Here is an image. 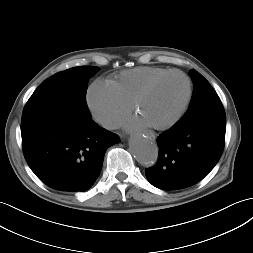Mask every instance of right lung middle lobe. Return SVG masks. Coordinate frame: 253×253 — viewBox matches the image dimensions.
I'll use <instances>...</instances> for the list:
<instances>
[{
  "label": "right lung middle lobe",
  "mask_w": 253,
  "mask_h": 253,
  "mask_svg": "<svg viewBox=\"0 0 253 253\" xmlns=\"http://www.w3.org/2000/svg\"><path fill=\"white\" fill-rule=\"evenodd\" d=\"M99 70L96 66L74 67L44 81L24 107L21 130L58 114L91 116L86 104L87 82Z\"/></svg>",
  "instance_id": "1"
}]
</instances>
